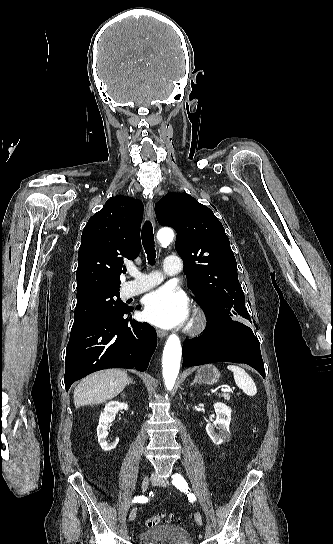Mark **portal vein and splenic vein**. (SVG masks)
Masks as SVG:
<instances>
[{"label": "portal vein and splenic vein", "instance_id": "portal-vein-and-splenic-vein-1", "mask_svg": "<svg viewBox=\"0 0 333 544\" xmlns=\"http://www.w3.org/2000/svg\"><path fill=\"white\" fill-rule=\"evenodd\" d=\"M221 391H222V392H228V391H230V389L222 388Z\"/></svg>", "mask_w": 333, "mask_h": 544}]
</instances>
